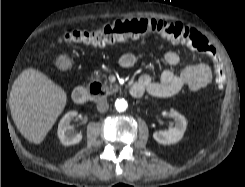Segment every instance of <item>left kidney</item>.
Returning <instances> with one entry per match:
<instances>
[{"instance_id": "5707ae66", "label": "left kidney", "mask_w": 245, "mask_h": 187, "mask_svg": "<svg viewBox=\"0 0 245 187\" xmlns=\"http://www.w3.org/2000/svg\"><path fill=\"white\" fill-rule=\"evenodd\" d=\"M167 114L174 119V127H170L167 131H156L153 133V138L163 145L179 142L183 138L187 126L185 117L176 110L170 109Z\"/></svg>"}]
</instances>
